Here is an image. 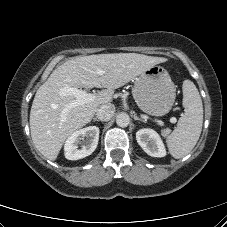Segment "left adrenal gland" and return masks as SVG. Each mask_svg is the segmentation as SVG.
<instances>
[{"instance_id":"a2214340","label":"left adrenal gland","mask_w":227,"mask_h":227,"mask_svg":"<svg viewBox=\"0 0 227 227\" xmlns=\"http://www.w3.org/2000/svg\"><path fill=\"white\" fill-rule=\"evenodd\" d=\"M134 120H137V121H141V122H145V120L137 117V115H134Z\"/></svg>"}]
</instances>
